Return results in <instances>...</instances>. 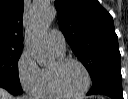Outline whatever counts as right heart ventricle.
<instances>
[{
	"instance_id": "obj_1",
	"label": "right heart ventricle",
	"mask_w": 128,
	"mask_h": 99,
	"mask_svg": "<svg viewBox=\"0 0 128 99\" xmlns=\"http://www.w3.org/2000/svg\"><path fill=\"white\" fill-rule=\"evenodd\" d=\"M56 55L58 58H62L64 56V54H57V53ZM35 94L40 98H44V99L60 98V95L53 88L50 77V69L48 68L42 69V80Z\"/></svg>"
}]
</instances>
